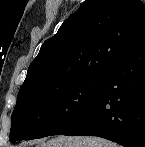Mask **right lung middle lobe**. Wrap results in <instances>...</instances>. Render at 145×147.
Instances as JSON below:
<instances>
[{
    "instance_id": "right-lung-middle-lobe-1",
    "label": "right lung middle lobe",
    "mask_w": 145,
    "mask_h": 147,
    "mask_svg": "<svg viewBox=\"0 0 145 147\" xmlns=\"http://www.w3.org/2000/svg\"><path fill=\"white\" fill-rule=\"evenodd\" d=\"M101 81L102 74H91L54 91L18 95L11 143L62 134L93 101Z\"/></svg>"
}]
</instances>
